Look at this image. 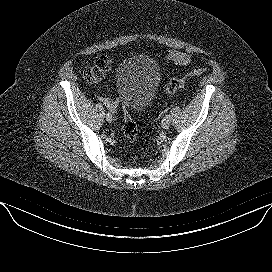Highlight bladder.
<instances>
[{
  "mask_svg": "<svg viewBox=\"0 0 272 272\" xmlns=\"http://www.w3.org/2000/svg\"><path fill=\"white\" fill-rule=\"evenodd\" d=\"M161 73L157 62L144 55L122 62L115 74L118 97L132 111L147 107L160 84Z\"/></svg>",
  "mask_w": 272,
  "mask_h": 272,
  "instance_id": "1",
  "label": "bladder"
}]
</instances>
